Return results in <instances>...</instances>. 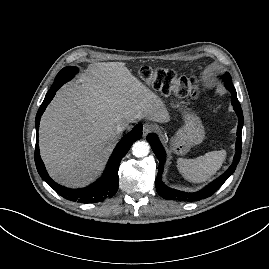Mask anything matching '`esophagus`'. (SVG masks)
<instances>
[{
    "label": "esophagus",
    "instance_id": "esophagus-1",
    "mask_svg": "<svg viewBox=\"0 0 269 269\" xmlns=\"http://www.w3.org/2000/svg\"><path fill=\"white\" fill-rule=\"evenodd\" d=\"M155 129V127L150 123H145L143 125V136H147L150 132H152Z\"/></svg>",
    "mask_w": 269,
    "mask_h": 269
}]
</instances>
